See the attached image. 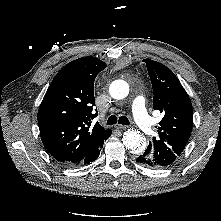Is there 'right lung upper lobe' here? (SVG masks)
Returning <instances> with one entry per match:
<instances>
[{
  "mask_svg": "<svg viewBox=\"0 0 221 221\" xmlns=\"http://www.w3.org/2000/svg\"><path fill=\"white\" fill-rule=\"evenodd\" d=\"M105 68L98 58L82 57L65 65L52 80L37 119L42 142L56 160L77 165L106 138L108 130L91 124L98 114L93 107L94 80Z\"/></svg>",
  "mask_w": 221,
  "mask_h": 221,
  "instance_id": "obj_1",
  "label": "right lung upper lobe"
}]
</instances>
